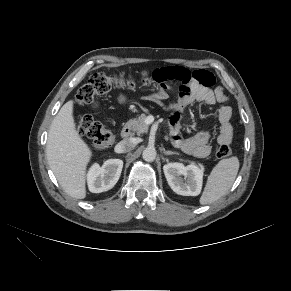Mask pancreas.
Listing matches in <instances>:
<instances>
[{
  "label": "pancreas",
  "instance_id": "1",
  "mask_svg": "<svg viewBox=\"0 0 291 291\" xmlns=\"http://www.w3.org/2000/svg\"><path fill=\"white\" fill-rule=\"evenodd\" d=\"M146 115L141 114L138 118L130 120L128 126L138 135L148 131V125L145 123Z\"/></svg>",
  "mask_w": 291,
  "mask_h": 291
}]
</instances>
